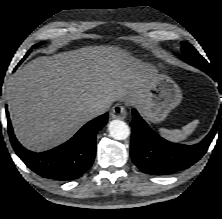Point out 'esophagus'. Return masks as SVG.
<instances>
[{"instance_id":"obj_1","label":"esophagus","mask_w":222,"mask_h":219,"mask_svg":"<svg viewBox=\"0 0 222 219\" xmlns=\"http://www.w3.org/2000/svg\"><path fill=\"white\" fill-rule=\"evenodd\" d=\"M111 116L114 119H120L123 120L126 118L127 116V111L125 109V107L121 104H116L113 108H112V112H111Z\"/></svg>"}]
</instances>
